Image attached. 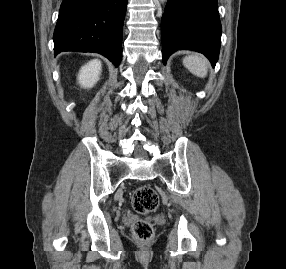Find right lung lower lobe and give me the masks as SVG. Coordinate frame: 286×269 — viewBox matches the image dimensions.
I'll list each match as a JSON object with an SVG mask.
<instances>
[{
  "instance_id": "1",
  "label": "right lung lower lobe",
  "mask_w": 286,
  "mask_h": 269,
  "mask_svg": "<svg viewBox=\"0 0 286 269\" xmlns=\"http://www.w3.org/2000/svg\"><path fill=\"white\" fill-rule=\"evenodd\" d=\"M128 0H63L54 30L55 55L96 52L116 67L122 57L123 23Z\"/></svg>"
}]
</instances>
